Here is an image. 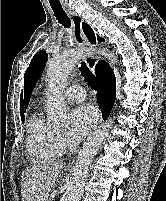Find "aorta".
Returning <instances> with one entry per match:
<instances>
[{
	"label": "aorta",
	"mask_w": 166,
	"mask_h": 201,
	"mask_svg": "<svg viewBox=\"0 0 166 201\" xmlns=\"http://www.w3.org/2000/svg\"><path fill=\"white\" fill-rule=\"evenodd\" d=\"M91 49L84 52L79 50H68L61 55L53 57L48 63L46 73L47 85V109L48 115L55 123H65L68 120V109L64 101V90L70 72L84 53H91ZM101 52L107 56L112 63L116 58L105 49ZM112 121H106L92 136L84 143L80 150L76 164L74 166L72 177L67 186L64 195V201H80L83 188L88 177L89 169L94 156L101 145L109 137Z\"/></svg>",
	"instance_id": "aorta-1"
}]
</instances>
